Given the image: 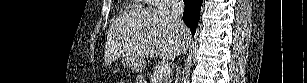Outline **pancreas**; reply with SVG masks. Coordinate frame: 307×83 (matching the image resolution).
<instances>
[{"instance_id":"1","label":"pancreas","mask_w":307,"mask_h":83,"mask_svg":"<svg viewBox=\"0 0 307 83\" xmlns=\"http://www.w3.org/2000/svg\"><path fill=\"white\" fill-rule=\"evenodd\" d=\"M157 74H158V70H155L154 72H153V74L151 75V79L152 80H154L153 82L155 83V79L157 78ZM163 81V83H167L168 82V77H165V78H163L162 79Z\"/></svg>"}]
</instances>
